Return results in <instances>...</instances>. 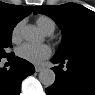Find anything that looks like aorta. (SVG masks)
I'll return each instance as SVG.
<instances>
[{
    "label": "aorta",
    "instance_id": "1",
    "mask_svg": "<svg viewBox=\"0 0 95 95\" xmlns=\"http://www.w3.org/2000/svg\"><path fill=\"white\" fill-rule=\"evenodd\" d=\"M22 36L26 41H36L39 39V34L37 30L33 26H26L22 30ZM39 81L45 86L50 87L55 82V73L52 69H43L40 71L39 75Z\"/></svg>",
    "mask_w": 95,
    "mask_h": 95
}]
</instances>
